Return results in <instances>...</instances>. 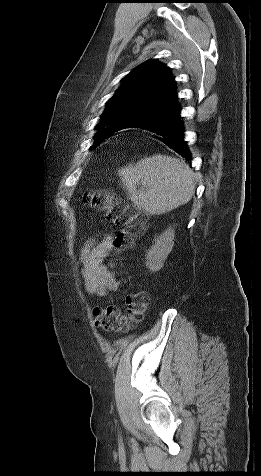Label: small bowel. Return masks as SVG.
<instances>
[{
	"label": "small bowel",
	"mask_w": 261,
	"mask_h": 476,
	"mask_svg": "<svg viewBox=\"0 0 261 476\" xmlns=\"http://www.w3.org/2000/svg\"><path fill=\"white\" fill-rule=\"evenodd\" d=\"M111 249V237L106 235L99 241H89L82 250V274L90 294L105 296L118 289V283L105 263Z\"/></svg>",
	"instance_id": "small-bowel-1"
}]
</instances>
